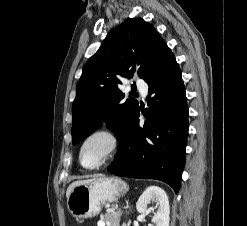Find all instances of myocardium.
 <instances>
[{
	"label": "myocardium",
	"instance_id": "f54148a6",
	"mask_svg": "<svg viewBox=\"0 0 247 226\" xmlns=\"http://www.w3.org/2000/svg\"><path fill=\"white\" fill-rule=\"evenodd\" d=\"M95 137L106 138L109 142V148H108L106 155L97 164L87 166L83 162V151H84L86 144ZM119 147H120V140H119L117 133L111 128L100 127V128L92 130L83 138L80 144V147H79L78 159L82 167L89 169V170L98 169L106 165L107 163H109L115 157V155L117 154L119 150Z\"/></svg>",
	"mask_w": 247,
	"mask_h": 226
}]
</instances>
